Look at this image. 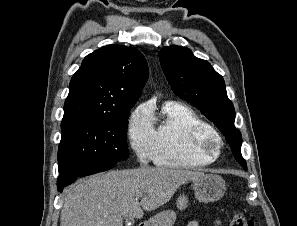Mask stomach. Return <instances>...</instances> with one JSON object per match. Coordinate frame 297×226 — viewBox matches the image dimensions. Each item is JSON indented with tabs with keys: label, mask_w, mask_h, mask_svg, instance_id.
<instances>
[{
	"label": "stomach",
	"mask_w": 297,
	"mask_h": 226,
	"mask_svg": "<svg viewBox=\"0 0 297 226\" xmlns=\"http://www.w3.org/2000/svg\"><path fill=\"white\" fill-rule=\"evenodd\" d=\"M195 198L199 202H215L223 197L225 193V181L219 175L207 174L201 179L192 183ZM186 197L180 196L177 200V207L182 210L187 207ZM176 220V213L172 210H164L151 217L145 226H173Z\"/></svg>",
	"instance_id": "1"
}]
</instances>
